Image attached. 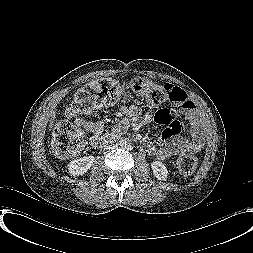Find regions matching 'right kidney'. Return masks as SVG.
Masks as SVG:
<instances>
[{
    "label": "right kidney",
    "instance_id": "obj_1",
    "mask_svg": "<svg viewBox=\"0 0 253 253\" xmlns=\"http://www.w3.org/2000/svg\"><path fill=\"white\" fill-rule=\"evenodd\" d=\"M94 160V156H84L75 159L68 164V171L71 175H83L91 168Z\"/></svg>",
    "mask_w": 253,
    "mask_h": 253
}]
</instances>
